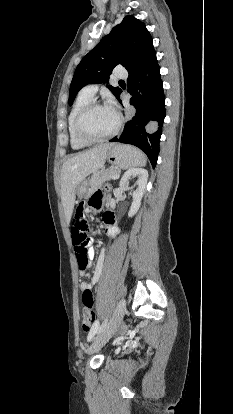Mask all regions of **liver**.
I'll use <instances>...</instances> for the list:
<instances>
[{"label":"liver","mask_w":233,"mask_h":414,"mask_svg":"<svg viewBox=\"0 0 233 414\" xmlns=\"http://www.w3.org/2000/svg\"><path fill=\"white\" fill-rule=\"evenodd\" d=\"M114 144L104 143L77 153L63 163L61 169V200L66 219L70 221L78 185L91 173L103 167L106 154Z\"/></svg>","instance_id":"liver-1"}]
</instances>
